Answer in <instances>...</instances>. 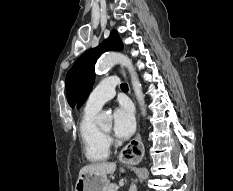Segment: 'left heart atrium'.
Returning a JSON list of instances; mask_svg holds the SVG:
<instances>
[{"instance_id": "39dd6f15", "label": "left heart atrium", "mask_w": 233, "mask_h": 191, "mask_svg": "<svg viewBox=\"0 0 233 191\" xmlns=\"http://www.w3.org/2000/svg\"><path fill=\"white\" fill-rule=\"evenodd\" d=\"M113 131L121 139L128 138L135 130V116L129 104L123 103L113 113Z\"/></svg>"}]
</instances>
